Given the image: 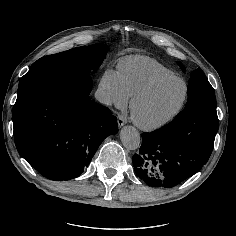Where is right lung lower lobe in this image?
Masks as SVG:
<instances>
[{"label": "right lung lower lobe", "instance_id": "obj_1", "mask_svg": "<svg viewBox=\"0 0 236 236\" xmlns=\"http://www.w3.org/2000/svg\"><path fill=\"white\" fill-rule=\"evenodd\" d=\"M87 77L41 86L17 97L12 111L15 145L43 176L78 177L102 141L118 132L107 107L88 97Z\"/></svg>", "mask_w": 236, "mask_h": 236}]
</instances>
